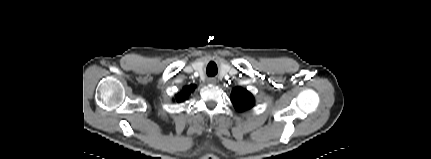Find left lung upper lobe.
Segmentation results:
<instances>
[{"label":"left lung upper lobe","mask_w":431,"mask_h":159,"mask_svg":"<svg viewBox=\"0 0 431 159\" xmlns=\"http://www.w3.org/2000/svg\"><path fill=\"white\" fill-rule=\"evenodd\" d=\"M231 100L238 110L249 109L254 104L253 96L246 89L242 88L233 90Z\"/></svg>","instance_id":"1"}]
</instances>
